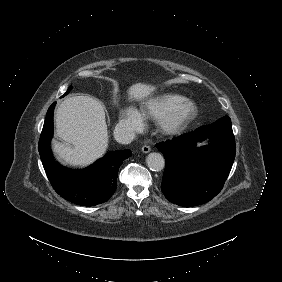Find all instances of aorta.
Returning a JSON list of instances; mask_svg holds the SVG:
<instances>
[{
	"label": "aorta",
	"instance_id": "obj_1",
	"mask_svg": "<svg viewBox=\"0 0 282 282\" xmlns=\"http://www.w3.org/2000/svg\"><path fill=\"white\" fill-rule=\"evenodd\" d=\"M146 164L153 171H160L164 168V158L160 153L152 152L146 157Z\"/></svg>",
	"mask_w": 282,
	"mask_h": 282
}]
</instances>
